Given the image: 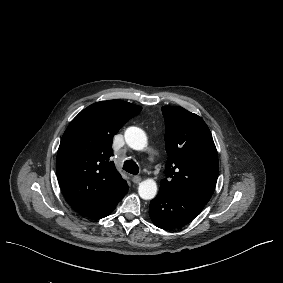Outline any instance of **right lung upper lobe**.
I'll list each match as a JSON object with an SVG mask.
<instances>
[{
    "mask_svg": "<svg viewBox=\"0 0 283 283\" xmlns=\"http://www.w3.org/2000/svg\"><path fill=\"white\" fill-rule=\"evenodd\" d=\"M141 109L121 100L94 103L71 121L62 136L57 178L68 203L83 216L102 218L127 193L126 181L110 160L112 139Z\"/></svg>",
    "mask_w": 283,
    "mask_h": 283,
    "instance_id": "1",
    "label": "right lung upper lobe"
}]
</instances>
